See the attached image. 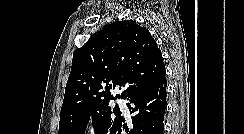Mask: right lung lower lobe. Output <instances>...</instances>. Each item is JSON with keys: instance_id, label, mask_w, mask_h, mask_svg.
Returning a JSON list of instances; mask_svg holds the SVG:
<instances>
[{"instance_id": "1", "label": "right lung lower lobe", "mask_w": 244, "mask_h": 134, "mask_svg": "<svg viewBox=\"0 0 244 134\" xmlns=\"http://www.w3.org/2000/svg\"><path fill=\"white\" fill-rule=\"evenodd\" d=\"M167 81L164 76L158 82L142 88L126 99L132 117L133 128L128 129L125 118L120 116L105 134H163L164 113L167 106Z\"/></svg>"}]
</instances>
